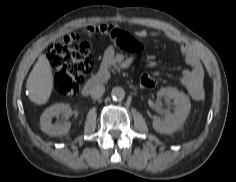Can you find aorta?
<instances>
[{"mask_svg": "<svg viewBox=\"0 0 236 182\" xmlns=\"http://www.w3.org/2000/svg\"><path fill=\"white\" fill-rule=\"evenodd\" d=\"M112 98L114 100H123L125 98V91L121 87H114L111 91Z\"/></svg>", "mask_w": 236, "mask_h": 182, "instance_id": "aorta-1", "label": "aorta"}]
</instances>
